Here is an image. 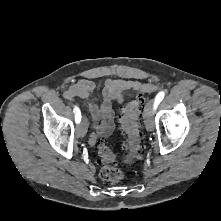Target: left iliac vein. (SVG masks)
<instances>
[{
	"label": "left iliac vein",
	"instance_id": "obj_1",
	"mask_svg": "<svg viewBox=\"0 0 221 221\" xmlns=\"http://www.w3.org/2000/svg\"><path fill=\"white\" fill-rule=\"evenodd\" d=\"M154 101L153 99L150 100L145 107L144 123L148 131H152L155 125L153 118Z\"/></svg>",
	"mask_w": 221,
	"mask_h": 221
}]
</instances>
